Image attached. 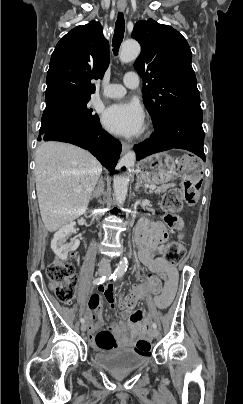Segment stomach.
I'll return each mask as SVG.
<instances>
[{
  "label": "stomach",
  "mask_w": 243,
  "mask_h": 404,
  "mask_svg": "<svg viewBox=\"0 0 243 404\" xmlns=\"http://www.w3.org/2000/svg\"><path fill=\"white\" fill-rule=\"evenodd\" d=\"M140 180L150 184H164L176 176L173 158L165 152L153 154L140 161L136 168Z\"/></svg>",
  "instance_id": "1"
}]
</instances>
